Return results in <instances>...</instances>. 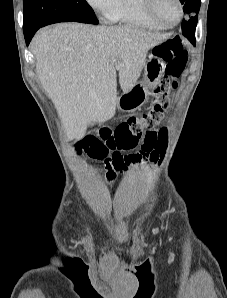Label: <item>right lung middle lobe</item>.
Listing matches in <instances>:
<instances>
[{
    "instance_id": "dd1d6c3e",
    "label": "right lung middle lobe",
    "mask_w": 227,
    "mask_h": 298,
    "mask_svg": "<svg viewBox=\"0 0 227 298\" xmlns=\"http://www.w3.org/2000/svg\"><path fill=\"white\" fill-rule=\"evenodd\" d=\"M24 33L57 22L98 24L85 0H24Z\"/></svg>"
}]
</instances>
